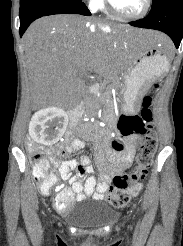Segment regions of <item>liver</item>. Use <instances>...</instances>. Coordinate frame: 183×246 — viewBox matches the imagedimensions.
<instances>
[{
  "mask_svg": "<svg viewBox=\"0 0 183 246\" xmlns=\"http://www.w3.org/2000/svg\"><path fill=\"white\" fill-rule=\"evenodd\" d=\"M144 39L167 48L163 33L105 23L81 15H51L33 22L24 34L31 96L38 105L69 108L85 95L84 75L108 77L124 71L133 43Z\"/></svg>",
  "mask_w": 183,
  "mask_h": 246,
  "instance_id": "liver-1",
  "label": "liver"
}]
</instances>
